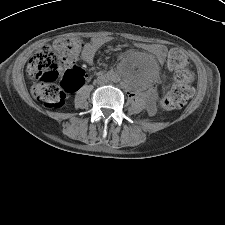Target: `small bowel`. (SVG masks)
I'll list each match as a JSON object with an SVG mask.
<instances>
[{
    "instance_id": "1",
    "label": "small bowel",
    "mask_w": 225,
    "mask_h": 225,
    "mask_svg": "<svg viewBox=\"0 0 225 225\" xmlns=\"http://www.w3.org/2000/svg\"><path fill=\"white\" fill-rule=\"evenodd\" d=\"M109 39L107 37H96L91 41L85 43L81 53V59L86 64H92L96 52L103 46ZM145 48L151 52L157 60L162 63L166 57L167 49L165 46L160 44L147 45ZM152 110V109H151Z\"/></svg>"
}]
</instances>
